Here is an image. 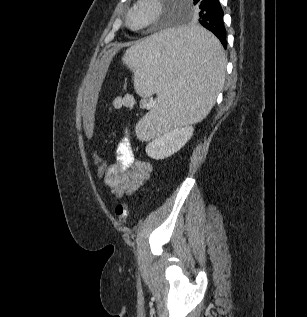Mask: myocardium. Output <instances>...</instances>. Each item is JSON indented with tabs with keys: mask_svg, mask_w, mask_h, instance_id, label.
<instances>
[{
	"mask_svg": "<svg viewBox=\"0 0 307 317\" xmlns=\"http://www.w3.org/2000/svg\"><path fill=\"white\" fill-rule=\"evenodd\" d=\"M163 10L162 0H136L127 12L125 21L131 30L140 31L154 24ZM140 13H144V16L138 19Z\"/></svg>",
	"mask_w": 307,
	"mask_h": 317,
	"instance_id": "f54148a6",
	"label": "myocardium"
}]
</instances>
